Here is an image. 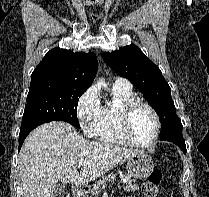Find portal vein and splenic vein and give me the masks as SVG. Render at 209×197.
Listing matches in <instances>:
<instances>
[{
	"instance_id": "portal-vein-and-splenic-vein-1",
	"label": "portal vein and splenic vein",
	"mask_w": 209,
	"mask_h": 197,
	"mask_svg": "<svg viewBox=\"0 0 209 197\" xmlns=\"http://www.w3.org/2000/svg\"><path fill=\"white\" fill-rule=\"evenodd\" d=\"M85 164V160L84 159H80L78 162V166H83Z\"/></svg>"
}]
</instances>
